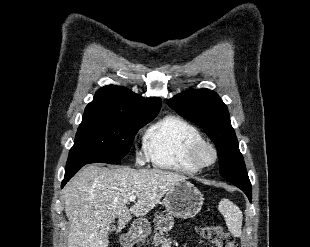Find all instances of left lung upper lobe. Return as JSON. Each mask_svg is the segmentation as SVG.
I'll return each instance as SVG.
<instances>
[{"mask_svg": "<svg viewBox=\"0 0 310 247\" xmlns=\"http://www.w3.org/2000/svg\"><path fill=\"white\" fill-rule=\"evenodd\" d=\"M167 104L205 130L217 148L223 178L238 179L247 175L228 108L215 92L209 89L189 90L168 99Z\"/></svg>", "mask_w": 310, "mask_h": 247, "instance_id": "5c2ea615", "label": "left lung upper lobe"}]
</instances>
